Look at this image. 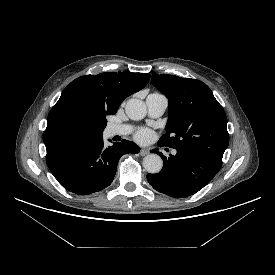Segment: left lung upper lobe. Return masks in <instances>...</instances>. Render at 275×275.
<instances>
[{
  "instance_id": "left-lung-upper-lobe-1",
  "label": "left lung upper lobe",
  "mask_w": 275,
  "mask_h": 275,
  "mask_svg": "<svg viewBox=\"0 0 275 275\" xmlns=\"http://www.w3.org/2000/svg\"><path fill=\"white\" fill-rule=\"evenodd\" d=\"M153 85L169 99L162 146L189 151L222 164L229 144L227 118L210 88L202 81L152 74Z\"/></svg>"
}]
</instances>
